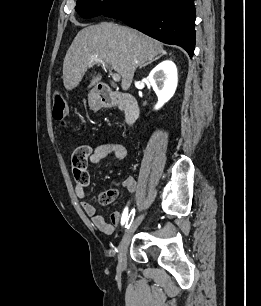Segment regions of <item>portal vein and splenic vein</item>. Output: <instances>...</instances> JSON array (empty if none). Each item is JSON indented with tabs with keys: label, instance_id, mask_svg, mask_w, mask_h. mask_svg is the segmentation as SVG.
Wrapping results in <instances>:
<instances>
[{
	"label": "portal vein and splenic vein",
	"instance_id": "obj_1",
	"mask_svg": "<svg viewBox=\"0 0 261 306\" xmlns=\"http://www.w3.org/2000/svg\"><path fill=\"white\" fill-rule=\"evenodd\" d=\"M94 64H101L104 68H106L112 77L113 81L118 82L120 81V75L118 73H113L108 66L107 62L104 61L103 59H100L98 57H92L88 63V67H91Z\"/></svg>",
	"mask_w": 261,
	"mask_h": 306
}]
</instances>
